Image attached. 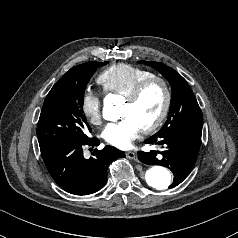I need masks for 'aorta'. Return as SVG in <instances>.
Returning <instances> with one entry per match:
<instances>
[{"label": "aorta", "mask_w": 238, "mask_h": 238, "mask_svg": "<svg viewBox=\"0 0 238 238\" xmlns=\"http://www.w3.org/2000/svg\"><path fill=\"white\" fill-rule=\"evenodd\" d=\"M119 105L114 97H107L104 101L103 118L115 121L119 117ZM147 184L156 190H166L171 185L172 175L169 170L162 166H152L145 174Z\"/></svg>", "instance_id": "1"}]
</instances>
